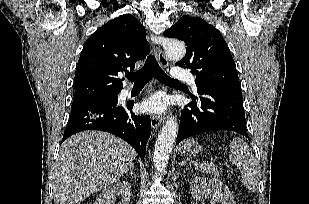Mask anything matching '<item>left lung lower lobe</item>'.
Masks as SVG:
<instances>
[{"label": "left lung lower lobe", "mask_w": 309, "mask_h": 204, "mask_svg": "<svg viewBox=\"0 0 309 204\" xmlns=\"http://www.w3.org/2000/svg\"><path fill=\"white\" fill-rule=\"evenodd\" d=\"M198 96L181 109L176 145L185 138L214 130L236 131L248 138L239 89L197 86Z\"/></svg>", "instance_id": "0a47b994"}]
</instances>
